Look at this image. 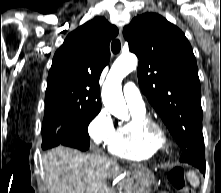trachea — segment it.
<instances>
[{
    "instance_id": "trachea-1",
    "label": "trachea",
    "mask_w": 221,
    "mask_h": 193,
    "mask_svg": "<svg viewBox=\"0 0 221 193\" xmlns=\"http://www.w3.org/2000/svg\"><path fill=\"white\" fill-rule=\"evenodd\" d=\"M121 49V44L120 41L118 39L113 40L112 44H111V50L114 54H117L120 52Z\"/></svg>"
}]
</instances>
